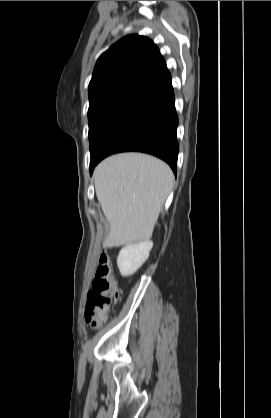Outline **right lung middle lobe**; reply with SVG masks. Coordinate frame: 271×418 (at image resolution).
I'll return each mask as SVG.
<instances>
[{
  "label": "right lung middle lobe",
  "mask_w": 271,
  "mask_h": 418,
  "mask_svg": "<svg viewBox=\"0 0 271 418\" xmlns=\"http://www.w3.org/2000/svg\"><path fill=\"white\" fill-rule=\"evenodd\" d=\"M152 103L130 96L116 97L89 105L90 164L107 142Z\"/></svg>",
  "instance_id": "1"
}]
</instances>
